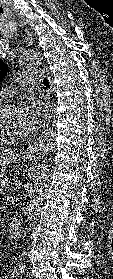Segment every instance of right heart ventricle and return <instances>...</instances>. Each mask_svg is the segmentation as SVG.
<instances>
[{
    "mask_svg": "<svg viewBox=\"0 0 113 279\" xmlns=\"http://www.w3.org/2000/svg\"><path fill=\"white\" fill-rule=\"evenodd\" d=\"M2 98H3V95L1 94L0 95V102L2 101ZM3 143L2 142H0V145H2Z\"/></svg>",
    "mask_w": 113,
    "mask_h": 279,
    "instance_id": "1",
    "label": "right heart ventricle"
}]
</instances>
